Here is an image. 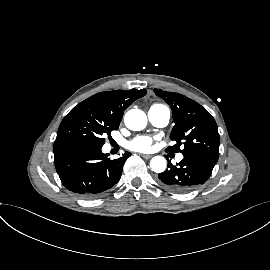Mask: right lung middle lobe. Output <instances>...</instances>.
Masks as SVG:
<instances>
[{
  "mask_svg": "<svg viewBox=\"0 0 270 270\" xmlns=\"http://www.w3.org/2000/svg\"><path fill=\"white\" fill-rule=\"evenodd\" d=\"M118 125L98 118L85 103L76 105L62 120L54 144L81 143L93 147H102L104 136H110Z\"/></svg>",
  "mask_w": 270,
  "mask_h": 270,
  "instance_id": "obj_1",
  "label": "right lung middle lobe"
}]
</instances>
